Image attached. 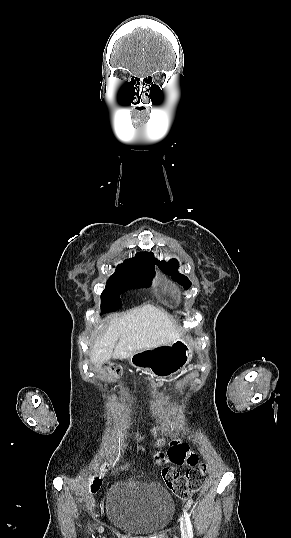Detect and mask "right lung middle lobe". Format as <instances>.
<instances>
[{"label":"right lung middle lobe","instance_id":"dd1d6c3e","mask_svg":"<svg viewBox=\"0 0 291 538\" xmlns=\"http://www.w3.org/2000/svg\"><path fill=\"white\" fill-rule=\"evenodd\" d=\"M156 262L125 260L116 267L101 294V314L122 306L120 295L127 289L148 287L155 276Z\"/></svg>","mask_w":291,"mask_h":538}]
</instances>
